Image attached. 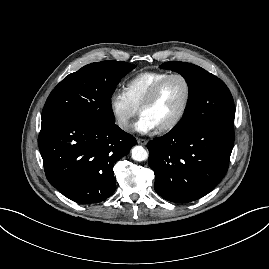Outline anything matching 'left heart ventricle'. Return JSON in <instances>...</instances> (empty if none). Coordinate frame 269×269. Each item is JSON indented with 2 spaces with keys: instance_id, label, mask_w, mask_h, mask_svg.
I'll return each mask as SVG.
<instances>
[{
  "instance_id": "obj_1",
  "label": "left heart ventricle",
  "mask_w": 269,
  "mask_h": 269,
  "mask_svg": "<svg viewBox=\"0 0 269 269\" xmlns=\"http://www.w3.org/2000/svg\"><path fill=\"white\" fill-rule=\"evenodd\" d=\"M186 99V87L179 78L169 80L160 91L155 102L142 111L157 128L170 123L181 111Z\"/></svg>"
}]
</instances>
